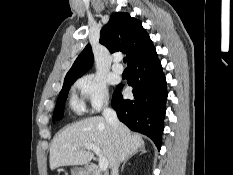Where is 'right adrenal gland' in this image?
Masks as SVG:
<instances>
[{
  "label": "right adrenal gland",
  "mask_w": 233,
  "mask_h": 175,
  "mask_svg": "<svg viewBox=\"0 0 233 175\" xmlns=\"http://www.w3.org/2000/svg\"><path fill=\"white\" fill-rule=\"evenodd\" d=\"M138 151L140 152V154H143V153L146 152V150H145L144 147H140ZM138 151H137V152H138ZM131 157H132V155L129 156L128 158H126V160L124 161V163H123V165H122L121 172L124 170V167H125L126 162H127V161L129 160V158H131Z\"/></svg>",
  "instance_id": "right-adrenal-gland-1"
}]
</instances>
